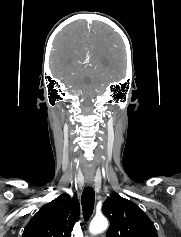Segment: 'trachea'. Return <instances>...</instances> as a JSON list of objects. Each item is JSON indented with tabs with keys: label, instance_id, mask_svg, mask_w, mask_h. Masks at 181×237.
<instances>
[{
	"label": "trachea",
	"instance_id": "trachea-1",
	"mask_svg": "<svg viewBox=\"0 0 181 237\" xmlns=\"http://www.w3.org/2000/svg\"><path fill=\"white\" fill-rule=\"evenodd\" d=\"M95 201V192L92 187H86L83 190L81 204L83 209L84 219L87 221L93 213Z\"/></svg>",
	"mask_w": 181,
	"mask_h": 237
}]
</instances>
